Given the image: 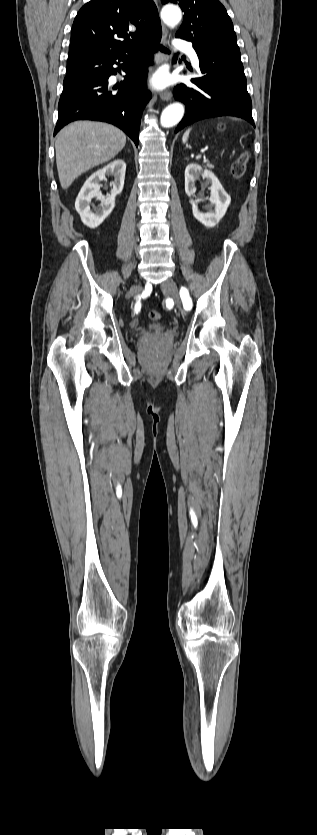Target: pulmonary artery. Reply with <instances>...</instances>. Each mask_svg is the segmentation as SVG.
<instances>
[{
    "label": "pulmonary artery",
    "instance_id": "obj_1",
    "mask_svg": "<svg viewBox=\"0 0 317 835\" xmlns=\"http://www.w3.org/2000/svg\"><path fill=\"white\" fill-rule=\"evenodd\" d=\"M175 47H176L177 49H179V50H181V51H183V52L187 53V54H188V56L190 57V59H191L192 63H193L195 66H198V64H199L198 55H197V53H196L195 49L193 48V46H192L190 43H188V42H186V41H178V42L175 44Z\"/></svg>",
    "mask_w": 317,
    "mask_h": 835
}]
</instances>
